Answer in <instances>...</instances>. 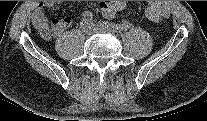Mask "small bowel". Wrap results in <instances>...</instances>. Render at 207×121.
I'll return each mask as SVG.
<instances>
[{"mask_svg": "<svg viewBox=\"0 0 207 121\" xmlns=\"http://www.w3.org/2000/svg\"><path fill=\"white\" fill-rule=\"evenodd\" d=\"M58 6L55 1H46L38 3L31 15L33 25L40 37L46 41L60 35L68 28L72 19L69 16L60 19H53L50 23L45 15L46 9H56ZM125 2L123 1H104L101 3L102 13L106 18H113L118 12L123 10Z\"/></svg>", "mask_w": 207, "mask_h": 121, "instance_id": "c3829d8e", "label": "small bowel"}]
</instances>
